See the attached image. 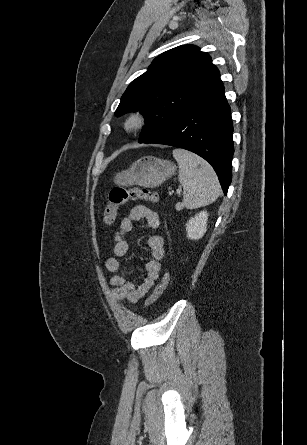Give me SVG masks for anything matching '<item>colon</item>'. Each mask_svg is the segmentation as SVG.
Segmentation results:
<instances>
[{
  "mask_svg": "<svg viewBox=\"0 0 307 445\" xmlns=\"http://www.w3.org/2000/svg\"><path fill=\"white\" fill-rule=\"evenodd\" d=\"M129 200H145L156 203L158 195L155 191L145 188L114 187L109 192V202L103 214V224L111 225L117 216L118 209L121 205ZM170 273L165 272L161 281L154 288L152 294L146 300V306L152 305L165 291L169 284Z\"/></svg>",
  "mask_w": 307,
  "mask_h": 445,
  "instance_id": "1",
  "label": "colon"
}]
</instances>
